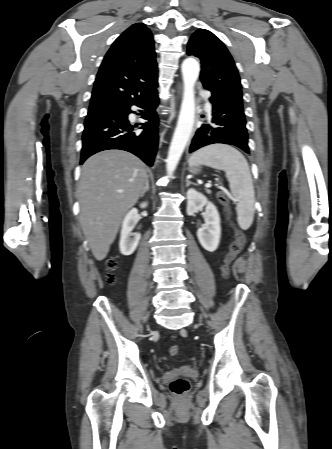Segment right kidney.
Instances as JSON below:
<instances>
[{
    "instance_id": "right-kidney-1",
    "label": "right kidney",
    "mask_w": 332,
    "mask_h": 449,
    "mask_svg": "<svg viewBox=\"0 0 332 449\" xmlns=\"http://www.w3.org/2000/svg\"><path fill=\"white\" fill-rule=\"evenodd\" d=\"M140 206L141 208L147 207V202H143ZM139 219L138 210L134 208L127 213L123 220L119 242L120 252L123 255H131L138 246L141 235L139 233H132V230Z\"/></svg>"
}]
</instances>
